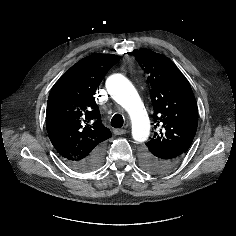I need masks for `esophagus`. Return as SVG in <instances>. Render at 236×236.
Instances as JSON below:
<instances>
[{
	"label": "esophagus",
	"mask_w": 236,
	"mask_h": 236,
	"mask_svg": "<svg viewBox=\"0 0 236 236\" xmlns=\"http://www.w3.org/2000/svg\"><path fill=\"white\" fill-rule=\"evenodd\" d=\"M113 132L115 135H123L127 133L125 129H115Z\"/></svg>",
	"instance_id": "34e87169"
}]
</instances>
